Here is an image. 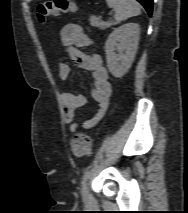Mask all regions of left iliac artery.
Here are the masks:
<instances>
[{
	"instance_id": "obj_1",
	"label": "left iliac artery",
	"mask_w": 188,
	"mask_h": 213,
	"mask_svg": "<svg viewBox=\"0 0 188 213\" xmlns=\"http://www.w3.org/2000/svg\"><path fill=\"white\" fill-rule=\"evenodd\" d=\"M90 174H91V171H90V170H87V171L84 173V175H83V177H82V186H84V184L86 183V181H87V179L89 178Z\"/></svg>"
}]
</instances>
